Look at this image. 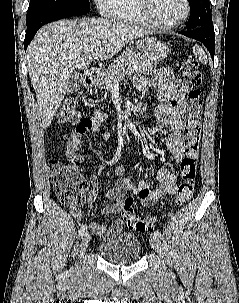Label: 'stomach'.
Listing matches in <instances>:
<instances>
[{
    "label": "stomach",
    "mask_w": 239,
    "mask_h": 303,
    "mask_svg": "<svg viewBox=\"0 0 239 303\" xmlns=\"http://www.w3.org/2000/svg\"><path fill=\"white\" fill-rule=\"evenodd\" d=\"M137 46L140 54L151 61L162 60L169 54L168 45L154 37H143Z\"/></svg>",
    "instance_id": "0dacf381"
}]
</instances>
